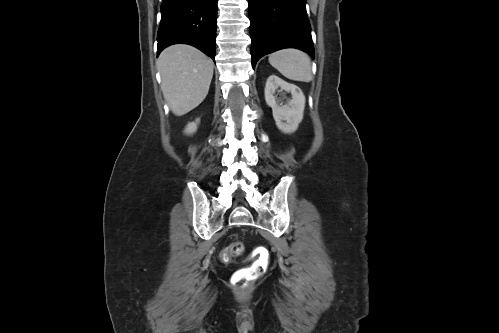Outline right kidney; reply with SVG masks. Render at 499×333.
<instances>
[{
    "instance_id": "ca27d5eb",
    "label": "right kidney",
    "mask_w": 499,
    "mask_h": 333,
    "mask_svg": "<svg viewBox=\"0 0 499 333\" xmlns=\"http://www.w3.org/2000/svg\"><path fill=\"white\" fill-rule=\"evenodd\" d=\"M199 122V119L196 120V122L189 123L185 129L186 134H192L197 130V124Z\"/></svg>"
}]
</instances>
